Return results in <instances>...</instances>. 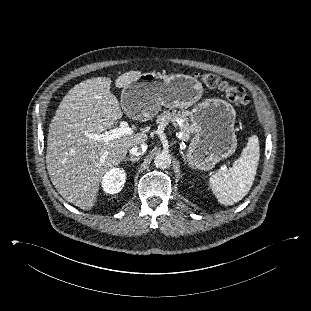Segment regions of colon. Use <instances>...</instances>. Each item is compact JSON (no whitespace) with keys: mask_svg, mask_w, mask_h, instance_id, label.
I'll return each mask as SVG.
<instances>
[{"mask_svg":"<svg viewBox=\"0 0 311 311\" xmlns=\"http://www.w3.org/2000/svg\"><path fill=\"white\" fill-rule=\"evenodd\" d=\"M198 76L207 87L225 91L228 100L236 107H246L249 104V96L242 87L229 85L215 74Z\"/></svg>","mask_w":311,"mask_h":311,"instance_id":"1","label":"colon"}]
</instances>
